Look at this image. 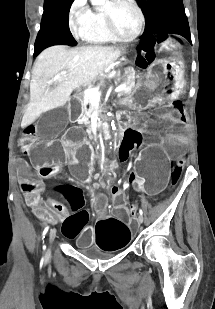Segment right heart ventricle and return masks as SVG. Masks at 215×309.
<instances>
[{
    "label": "right heart ventricle",
    "mask_w": 215,
    "mask_h": 309,
    "mask_svg": "<svg viewBox=\"0 0 215 309\" xmlns=\"http://www.w3.org/2000/svg\"><path fill=\"white\" fill-rule=\"evenodd\" d=\"M88 27L83 28V33L88 34L91 42H109V33L104 23L99 19H89Z\"/></svg>",
    "instance_id": "1"
}]
</instances>
